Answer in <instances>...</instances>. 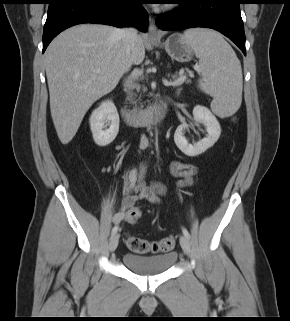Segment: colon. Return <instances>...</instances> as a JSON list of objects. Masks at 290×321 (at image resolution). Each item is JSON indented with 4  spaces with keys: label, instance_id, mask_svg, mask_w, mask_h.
<instances>
[{
    "label": "colon",
    "instance_id": "obj_1",
    "mask_svg": "<svg viewBox=\"0 0 290 321\" xmlns=\"http://www.w3.org/2000/svg\"><path fill=\"white\" fill-rule=\"evenodd\" d=\"M141 216V210L134 208L129 212L131 221ZM128 248L136 253H166L172 251L175 246V239L172 236L164 237L159 240L149 241L136 236H129L126 240Z\"/></svg>",
    "mask_w": 290,
    "mask_h": 321
}]
</instances>
